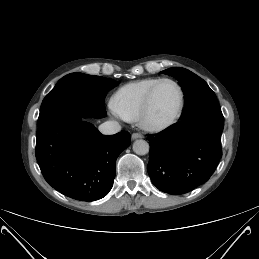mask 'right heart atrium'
<instances>
[{
    "label": "right heart atrium",
    "instance_id": "right-heart-atrium-1",
    "mask_svg": "<svg viewBox=\"0 0 259 259\" xmlns=\"http://www.w3.org/2000/svg\"><path fill=\"white\" fill-rule=\"evenodd\" d=\"M109 108H110V111H111L112 115H114L115 117H121V116L119 115V113L117 112V110H116V108H115V106H114L113 103H111V104L109 105Z\"/></svg>",
    "mask_w": 259,
    "mask_h": 259
}]
</instances>
